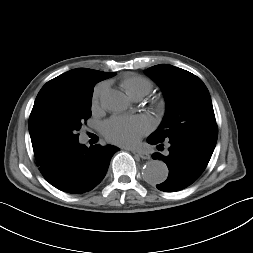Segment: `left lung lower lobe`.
Returning a JSON list of instances; mask_svg holds the SVG:
<instances>
[{
    "instance_id": "0a47b994",
    "label": "left lung lower lobe",
    "mask_w": 253,
    "mask_h": 253,
    "mask_svg": "<svg viewBox=\"0 0 253 253\" xmlns=\"http://www.w3.org/2000/svg\"><path fill=\"white\" fill-rule=\"evenodd\" d=\"M148 143L162 147V142L147 138ZM169 155L164 156L154 153L153 159L165 162L169 169L166 181L157 185V188L165 192H175L191 185L205 170L216 142L191 137H177L168 140Z\"/></svg>"
}]
</instances>
